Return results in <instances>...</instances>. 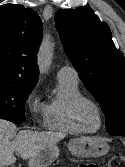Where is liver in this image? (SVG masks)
I'll use <instances>...</instances> for the list:
<instances>
[{"mask_svg": "<svg viewBox=\"0 0 125 167\" xmlns=\"http://www.w3.org/2000/svg\"><path fill=\"white\" fill-rule=\"evenodd\" d=\"M16 132L15 124L0 119V167L16 162L14 152L18 153L23 160L30 159L44 148L56 145L65 137V134L61 132H34L30 130H22L17 134Z\"/></svg>", "mask_w": 125, "mask_h": 167, "instance_id": "6515ba94", "label": "liver"}]
</instances>
